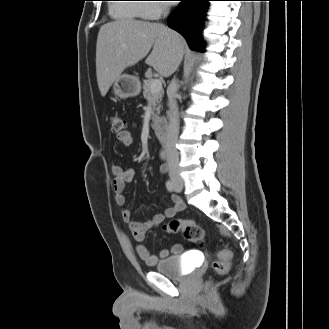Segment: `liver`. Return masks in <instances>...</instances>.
Here are the masks:
<instances>
[{
    "instance_id": "liver-1",
    "label": "liver",
    "mask_w": 329,
    "mask_h": 329,
    "mask_svg": "<svg viewBox=\"0 0 329 329\" xmlns=\"http://www.w3.org/2000/svg\"><path fill=\"white\" fill-rule=\"evenodd\" d=\"M185 42L177 32L157 23L132 19L101 26L96 44V75L104 97L128 67L146 58V64L164 77L179 66Z\"/></svg>"
}]
</instances>
